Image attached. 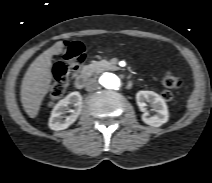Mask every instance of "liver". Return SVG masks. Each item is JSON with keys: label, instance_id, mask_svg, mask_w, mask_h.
<instances>
[{"label": "liver", "instance_id": "liver-1", "mask_svg": "<svg viewBox=\"0 0 212 183\" xmlns=\"http://www.w3.org/2000/svg\"><path fill=\"white\" fill-rule=\"evenodd\" d=\"M63 42H57L39 55L29 66L21 85V102L29 117L37 116L52 81L51 57L63 52Z\"/></svg>", "mask_w": 212, "mask_h": 183}]
</instances>
